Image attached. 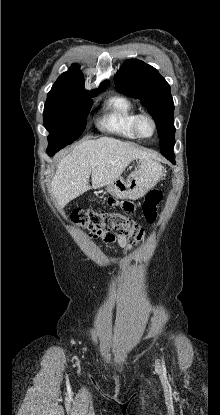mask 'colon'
Wrapping results in <instances>:
<instances>
[{"label":"colon","instance_id":"obj_1","mask_svg":"<svg viewBox=\"0 0 220 415\" xmlns=\"http://www.w3.org/2000/svg\"><path fill=\"white\" fill-rule=\"evenodd\" d=\"M160 200L161 195L156 190L148 192L145 197L142 212L149 223L156 220ZM119 205L123 210H129L132 207L129 201L119 202ZM71 220L75 225L87 227L92 233L99 236L119 231L133 244L142 242L145 236L141 225L118 211L77 209L71 213Z\"/></svg>","mask_w":220,"mask_h":415}]
</instances>
